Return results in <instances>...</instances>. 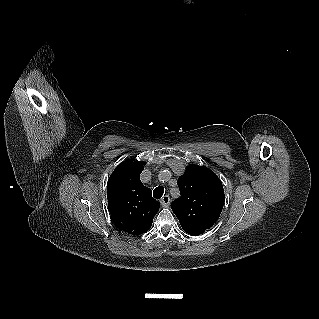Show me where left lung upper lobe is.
I'll return each instance as SVG.
<instances>
[{
    "mask_svg": "<svg viewBox=\"0 0 319 319\" xmlns=\"http://www.w3.org/2000/svg\"><path fill=\"white\" fill-rule=\"evenodd\" d=\"M180 198L171 208L182 228L204 232L218 220L224 205V189L215 173L190 165L178 179Z\"/></svg>",
    "mask_w": 319,
    "mask_h": 319,
    "instance_id": "obj_1",
    "label": "left lung upper lobe"
}]
</instances>
